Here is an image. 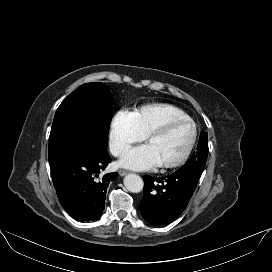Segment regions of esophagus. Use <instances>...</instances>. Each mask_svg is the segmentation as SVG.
<instances>
[{"mask_svg":"<svg viewBox=\"0 0 272 272\" xmlns=\"http://www.w3.org/2000/svg\"><path fill=\"white\" fill-rule=\"evenodd\" d=\"M119 174L120 176H125L128 174V171H125V170H119Z\"/></svg>","mask_w":272,"mask_h":272,"instance_id":"obj_1","label":"esophagus"}]
</instances>
